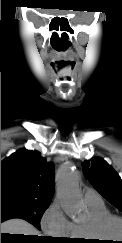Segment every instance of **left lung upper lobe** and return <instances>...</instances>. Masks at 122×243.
<instances>
[{
    "label": "left lung upper lobe",
    "mask_w": 122,
    "mask_h": 243,
    "mask_svg": "<svg viewBox=\"0 0 122 243\" xmlns=\"http://www.w3.org/2000/svg\"><path fill=\"white\" fill-rule=\"evenodd\" d=\"M82 169L93 187L122 211V181L118 173L100 157L84 161Z\"/></svg>",
    "instance_id": "obj_1"
}]
</instances>
